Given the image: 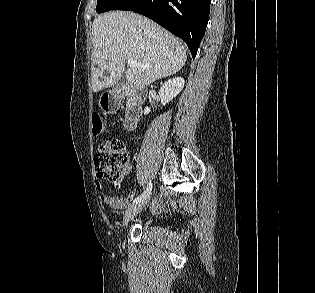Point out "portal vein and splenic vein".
<instances>
[{"mask_svg": "<svg viewBox=\"0 0 315 293\" xmlns=\"http://www.w3.org/2000/svg\"><path fill=\"white\" fill-rule=\"evenodd\" d=\"M128 65H129L130 67H135V66H137V65L143 66L142 64L137 63L134 59H129V60H128Z\"/></svg>", "mask_w": 315, "mask_h": 293, "instance_id": "portal-vein-and-splenic-vein-1", "label": "portal vein and splenic vein"}]
</instances>
